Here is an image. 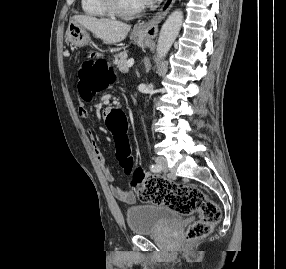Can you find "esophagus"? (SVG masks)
<instances>
[{"label": "esophagus", "instance_id": "1", "mask_svg": "<svg viewBox=\"0 0 286 269\" xmlns=\"http://www.w3.org/2000/svg\"><path fill=\"white\" fill-rule=\"evenodd\" d=\"M176 0H165L156 14L146 23L136 26V31L145 38L153 39L158 34L159 24L166 17Z\"/></svg>", "mask_w": 286, "mask_h": 269}]
</instances>
